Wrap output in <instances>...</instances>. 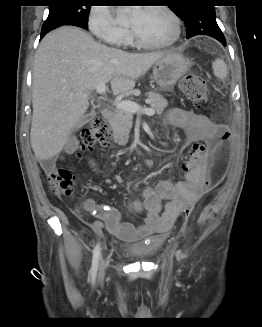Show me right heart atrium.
Here are the masks:
<instances>
[{"label":"right heart atrium","instance_id":"right-heart-atrium-1","mask_svg":"<svg viewBox=\"0 0 262 327\" xmlns=\"http://www.w3.org/2000/svg\"><path fill=\"white\" fill-rule=\"evenodd\" d=\"M87 24L91 33L105 44L122 47L128 42L129 32L116 23L111 9L105 5L91 8Z\"/></svg>","mask_w":262,"mask_h":327}]
</instances>
